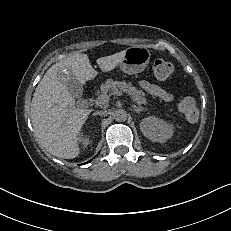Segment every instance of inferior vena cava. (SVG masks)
<instances>
[{"label":"inferior vena cava","mask_w":231,"mask_h":231,"mask_svg":"<svg viewBox=\"0 0 231 231\" xmlns=\"http://www.w3.org/2000/svg\"><path fill=\"white\" fill-rule=\"evenodd\" d=\"M106 113V111H96L93 113V115H104Z\"/></svg>","instance_id":"obj_1"}]
</instances>
